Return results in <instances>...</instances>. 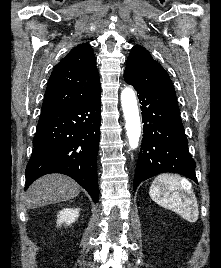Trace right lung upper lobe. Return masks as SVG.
<instances>
[{"mask_svg": "<svg viewBox=\"0 0 221 268\" xmlns=\"http://www.w3.org/2000/svg\"><path fill=\"white\" fill-rule=\"evenodd\" d=\"M101 93L96 58L92 47H74L53 69L46 88L42 111L57 110L87 101Z\"/></svg>", "mask_w": 221, "mask_h": 268, "instance_id": "obj_1", "label": "right lung upper lobe"}]
</instances>
